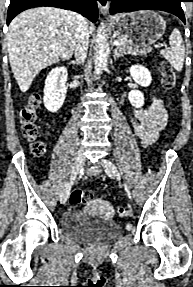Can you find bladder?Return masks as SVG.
Segmentation results:
<instances>
[{
    "mask_svg": "<svg viewBox=\"0 0 193 287\" xmlns=\"http://www.w3.org/2000/svg\"><path fill=\"white\" fill-rule=\"evenodd\" d=\"M60 231L76 241L100 245L116 239L123 230L107 218L92 217L86 211L70 209L61 218Z\"/></svg>",
    "mask_w": 193,
    "mask_h": 287,
    "instance_id": "bladder-1",
    "label": "bladder"
}]
</instances>
